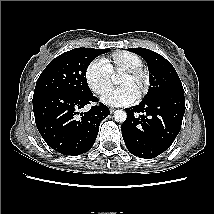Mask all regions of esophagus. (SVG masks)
Here are the masks:
<instances>
[{
  "mask_svg": "<svg viewBox=\"0 0 214 214\" xmlns=\"http://www.w3.org/2000/svg\"><path fill=\"white\" fill-rule=\"evenodd\" d=\"M114 108H110V113H113L114 112Z\"/></svg>",
  "mask_w": 214,
  "mask_h": 214,
  "instance_id": "obj_1",
  "label": "esophagus"
}]
</instances>
